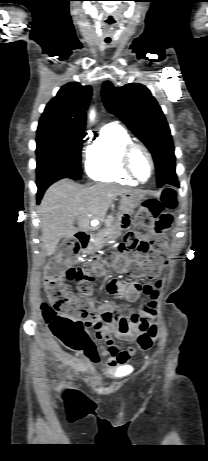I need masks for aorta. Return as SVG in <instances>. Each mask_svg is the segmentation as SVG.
I'll return each instance as SVG.
<instances>
[{
    "label": "aorta",
    "instance_id": "1",
    "mask_svg": "<svg viewBox=\"0 0 208 461\" xmlns=\"http://www.w3.org/2000/svg\"><path fill=\"white\" fill-rule=\"evenodd\" d=\"M94 118H95V111H94V110H91V111H90V114H89V119H90V121H93Z\"/></svg>",
    "mask_w": 208,
    "mask_h": 461
}]
</instances>
